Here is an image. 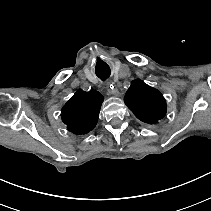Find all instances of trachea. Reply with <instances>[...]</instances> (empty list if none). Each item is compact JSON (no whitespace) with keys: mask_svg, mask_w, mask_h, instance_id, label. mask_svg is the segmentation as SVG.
Masks as SVG:
<instances>
[{"mask_svg":"<svg viewBox=\"0 0 211 211\" xmlns=\"http://www.w3.org/2000/svg\"><path fill=\"white\" fill-rule=\"evenodd\" d=\"M102 80H105L106 78H101Z\"/></svg>","mask_w":211,"mask_h":211,"instance_id":"1","label":"trachea"}]
</instances>
